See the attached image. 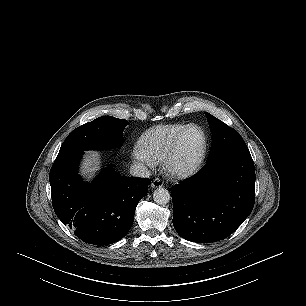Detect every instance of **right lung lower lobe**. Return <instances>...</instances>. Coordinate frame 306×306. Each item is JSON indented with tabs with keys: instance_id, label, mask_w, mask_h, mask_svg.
<instances>
[{
	"instance_id": "right-lung-lower-lobe-1",
	"label": "right lung lower lobe",
	"mask_w": 306,
	"mask_h": 306,
	"mask_svg": "<svg viewBox=\"0 0 306 306\" xmlns=\"http://www.w3.org/2000/svg\"><path fill=\"white\" fill-rule=\"evenodd\" d=\"M82 154H72L52 166V205L62 223L82 241L109 245L130 230L136 206L151 180L120 176L106 168L92 184L85 183L77 173Z\"/></svg>"
}]
</instances>
